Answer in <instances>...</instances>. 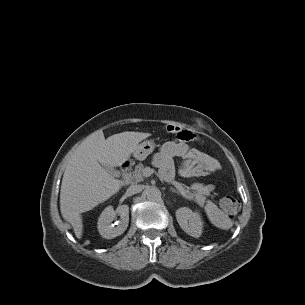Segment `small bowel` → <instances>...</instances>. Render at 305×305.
I'll return each mask as SVG.
<instances>
[{"instance_id": "c3829d8e", "label": "small bowel", "mask_w": 305, "mask_h": 305, "mask_svg": "<svg viewBox=\"0 0 305 305\" xmlns=\"http://www.w3.org/2000/svg\"><path fill=\"white\" fill-rule=\"evenodd\" d=\"M185 134L184 138L162 145L153 157V163L160 169V175L165 181L172 180L175 175L174 158L176 157L190 160L207 172H213L219 168V163L213 157L190 147L187 142L195 139V136L189 131H185Z\"/></svg>"}]
</instances>
